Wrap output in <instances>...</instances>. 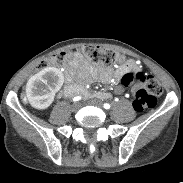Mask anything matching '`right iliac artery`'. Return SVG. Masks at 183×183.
Masks as SVG:
<instances>
[{
  "instance_id": "right-iliac-artery-1",
  "label": "right iliac artery",
  "mask_w": 183,
  "mask_h": 183,
  "mask_svg": "<svg viewBox=\"0 0 183 183\" xmlns=\"http://www.w3.org/2000/svg\"><path fill=\"white\" fill-rule=\"evenodd\" d=\"M80 99H81L80 96H76V97L73 98V101H79Z\"/></svg>"
}]
</instances>
